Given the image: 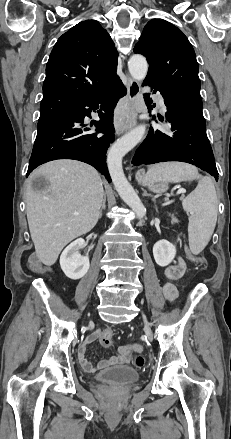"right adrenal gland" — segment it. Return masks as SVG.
<instances>
[{
    "mask_svg": "<svg viewBox=\"0 0 231 439\" xmlns=\"http://www.w3.org/2000/svg\"><path fill=\"white\" fill-rule=\"evenodd\" d=\"M105 202H106V195L104 194L103 201H102L101 208H100V215H99V218L102 217V210L106 208V206H105Z\"/></svg>",
    "mask_w": 231,
    "mask_h": 439,
    "instance_id": "obj_1",
    "label": "right adrenal gland"
}]
</instances>
